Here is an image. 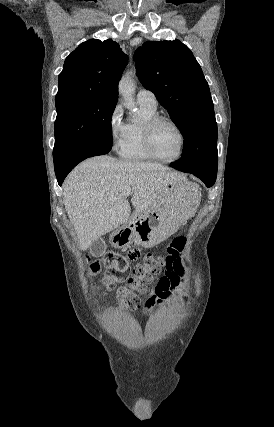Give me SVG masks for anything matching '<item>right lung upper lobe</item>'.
<instances>
[{
	"mask_svg": "<svg viewBox=\"0 0 274 427\" xmlns=\"http://www.w3.org/2000/svg\"><path fill=\"white\" fill-rule=\"evenodd\" d=\"M127 63L128 56L111 39L83 42L66 58L59 74L56 106L87 98H118V82Z\"/></svg>",
	"mask_w": 274,
	"mask_h": 427,
	"instance_id": "1",
	"label": "right lung upper lobe"
}]
</instances>
